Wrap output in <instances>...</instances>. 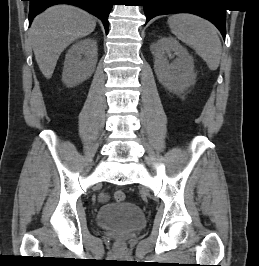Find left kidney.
I'll use <instances>...</instances> for the list:
<instances>
[{"mask_svg":"<svg viewBox=\"0 0 259 266\" xmlns=\"http://www.w3.org/2000/svg\"><path fill=\"white\" fill-rule=\"evenodd\" d=\"M154 69L160 83L173 93H183L195 83L194 60L173 37H161L153 45ZM176 59L169 63L168 58Z\"/></svg>","mask_w":259,"mask_h":266,"instance_id":"left-kidney-1","label":"left kidney"}]
</instances>
